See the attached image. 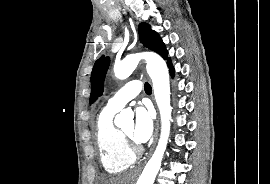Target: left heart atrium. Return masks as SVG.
Listing matches in <instances>:
<instances>
[{
  "label": "left heart atrium",
  "instance_id": "1",
  "mask_svg": "<svg viewBox=\"0 0 270 184\" xmlns=\"http://www.w3.org/2000/svg\"><path fill=\"white\" fill-rule=\"evenodd\" d=\"M153 133V113L143 106H139L135 111V125L133 137L137 142H147Z\"/></svg>",
  "mask_w": 270,
  "mask_h": 184
}]
</instances>
